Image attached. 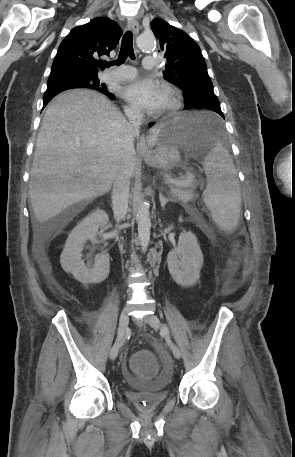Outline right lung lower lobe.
I'll return each instance as SVG.
<instances>
[{
	"label": "right lung lower lobe",
	"mask_w": 295,
	"mask_h": 457,
	"mask_svg": "<svg viewBox=\"0 0 295 457\" xmlns=\"http://www.w3.org/2000/svg\"><path fill=\"white\" fill-rule=\"evenodd\" d=\"M71 88H84L83 84L82 83H74V82H62V81H59V82H52V83H48V87L47 89H54V90H66V89H71ZM94 90H97L105 95H107L110 99H114V95L111 94L110 92L107 91L106 88H102V89H94ZM50 100V99H49ZM49 100H44V107L46 106V104L49 102Z\"/></svg>",
	"instance_id": "obj_1"
}]
</instances>
